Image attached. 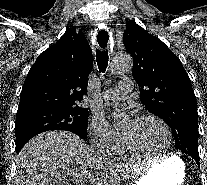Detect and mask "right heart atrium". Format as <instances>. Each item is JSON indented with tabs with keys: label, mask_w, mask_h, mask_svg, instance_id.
<instances>
[{
	"label": "right heart atrium",
	"mask_w": 207,
	"mask_h": 185,
	"mask_svg": "<svg viewBox=\"0 0 207 185\" xmlns=\"http://www.w3.org/2000/svg\"><path fill=\"white\" fill-rule=\"evenodd\" d=\"M89 136L93 147L104 153L120 139V135L110 127L100 113L93 115Z\"/></svg>",
	"instance_id": "1"
}]
</instances>
